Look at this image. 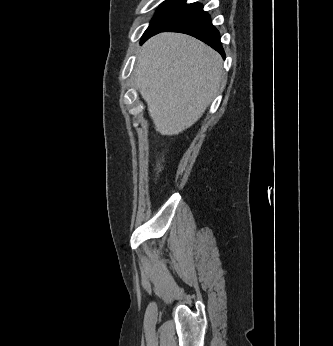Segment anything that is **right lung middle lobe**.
Wrapping results in <instances>:
<instances>
[{
  "instance_id": "obj_1",
  "label": "right lung middle lobe",
  "mask_w": 333,
  "mask_h": 346,
  "mask_svg": "<svg viewBox=\"0 0 333 346\" xmlns=\"http://www.w3.org/2000/svg\"><path fill=\"white\" fill-rule=\"evenodd\" d=\"M185 5L186 0L164 1L157 10L149 27L143 34L142 39L152 33H156L164 29L176 17V15L183 9Z\"/></svg>"
}]
</instances>
